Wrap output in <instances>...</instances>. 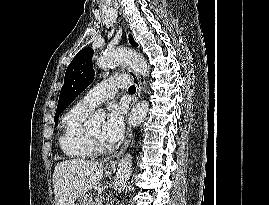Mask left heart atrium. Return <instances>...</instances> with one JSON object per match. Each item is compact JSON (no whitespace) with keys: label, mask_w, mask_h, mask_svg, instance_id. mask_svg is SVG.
<instances>
[{"label":"left heart atrium","mask_w":269,"mask_h":205,"mask_svg":"<svg viewBox=\"0 0 269 205\" xmlns=\"http://www.w3.org/2000/svg\"><path fill=\"white\" fill-rule=\"evenodd\" d=\"M126 107L122 103L112 102L107 107L106 121L102 128V137L109 144H115L124 131Z\"/></svg>","instance_id":"obj_1"}]
</instances>
